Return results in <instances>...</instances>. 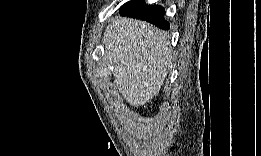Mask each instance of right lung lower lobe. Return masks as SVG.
I'll use <instances>...</instances> for the list:
<instances>
[{"mask_svg":"<svg viewBox=\"0 0 261 156\" xmlns=\"http://www.w3.org/2000/svg\"><path fill=\"white\" fill-rule=\"evenodd\" d=\"M122 15L140 18L152 23L160 29H169V23L164 19V8L158 5H144L143 0H134L125 9L120 11Z\"/></svg>","mask_w":261,"mask_h":156,"instance_id":"right-lung-lower-lobe-1","label":"right lung lower lobe"}]
</instances>
